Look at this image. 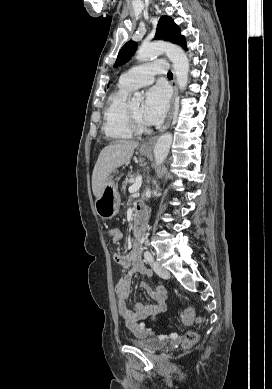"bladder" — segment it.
<instances>
[{
	"mask_svg": "<svg viewBox=\"0 0 272 389\" xmlns=\"http://www.w3.org/2000/svg\"><path fill=\"white\" fill-rule=\"evenodd\" d=\"M131 344L143 351L156 352L164 348L165 343L157 338H144L139 340H131Z\"/></svg>",
	"mask_w": 272,
	"mask_h": 389,
	"instance_id": "31cf9c89",
	"label": "bladder"
}]
</instances>
